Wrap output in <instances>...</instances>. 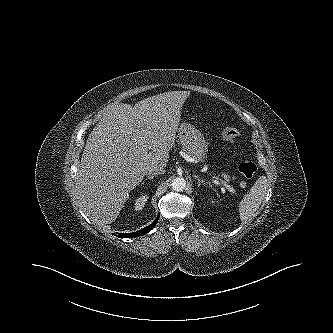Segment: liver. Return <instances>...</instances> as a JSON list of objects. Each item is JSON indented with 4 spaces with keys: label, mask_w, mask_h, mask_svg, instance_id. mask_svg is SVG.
Wrapping results in <instances>:
<instances>
[{
    "label": "liver",
    "mask_w": 333,
    "mask_h": 333,
    "mask_svg": "<svg viewBox=\"0 0 333 333\" xmlns=\"http://www.w3.org/2000/svg\"><path fill=\"white\" fill-rule=\"evenodd\" d=\"M188 91L111 106L90 133L75 181L79 207L97 225L116 220L152 166L166 167ZM151 150V151H149Z\"/></svg>",
    "instance_id": "1"
}]
</instances>
